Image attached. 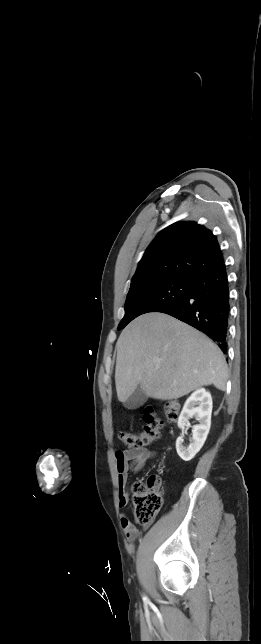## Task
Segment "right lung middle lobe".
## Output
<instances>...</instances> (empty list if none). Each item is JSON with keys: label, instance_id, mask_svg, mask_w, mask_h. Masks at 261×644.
I'll use <instances>...</instances> for the list:
<instances>
[{"label": "right lung middle lobe", "instance_id": "dd1d6c3e", "mask_svg": "<svg viewBox=\"0 0 261 644\" xmlns=\"http://www.w3.org/2000/svg\"><path fill=\"white\" fill-rule=\"evenodd\" d=\"M190 288L191 280L183 278L155 280L130 288L125 303V316L118 330L139 315L159 312L177 304L186 296Z\"/></svg>", "mask_w": 261, "mask_h": 644}]
</instances>
